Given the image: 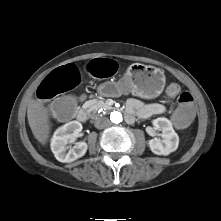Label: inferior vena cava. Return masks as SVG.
I'll return each mask as SVG.
<instances>
[{
  "instance_id": "602c4592",
  "label": "inferior vena cava",
  "mask_w": 221,
  "mask_h": 221,
  "mask_svg": "<svg viewBox=\"0 0 221 221\" xmlns=\"http://www.w3.org/2000/svg\"><path fill=\"white\" fill-rule=\"evenodd\" d=\"M111 122L109 121L108 118L106 117H100V118H97L96 121H95V127L98 128V129H103V128H106L108 126H110Z\"/></svg>"
}]
</instances>
